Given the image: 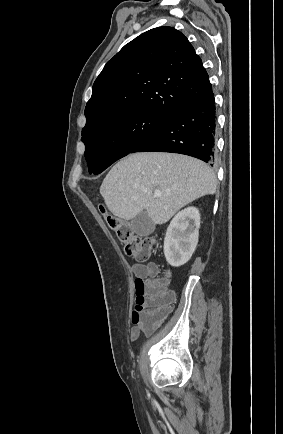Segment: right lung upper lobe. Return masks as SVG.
Segmentation results:
<instances>
[{"instance_id":"obj_1","label":"right lung upper lobe","mask_w":283,"mask_h":434,"mask_svg":"<svg viewBox=\"0 0 283 434\" xmlns=\"http://www.w3.org/2000/svg\"><path fill=\"white\" fill-rule=\"evenodd\" d=\"M212 91L188 39L172 27L146 31L126 44L96 79L83 130L135 111L172 116Z\"/></svg>"}]
</instances>
